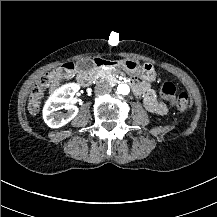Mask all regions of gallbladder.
Listing matches in <instances>:
<instances>
[{"instance_id": "bac80fb5", "label": "gallbladder", "mask_w": 217, "mask_h": 217, "mask_svg": "<svg viewBox=\"0 0 217 217\" xmlns=\"http://www.w3.org/2000/svg\"><path fill=\"white\" fill-rule=\"evenodd\" d=\"M79 67L86 71L93 67V63L90 60H82L79 62Z\"/></svg>"}]
</instances>
